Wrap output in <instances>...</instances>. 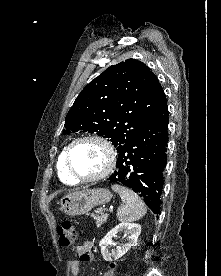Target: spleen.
Segmentation results:
<instances>
[{"label": "spleen", "instance_id": "1", "mask_svg": "<svg viewBox=\"0 0 221 276\" xmlns=\"http://www.w3.org/2000/svg\"><path fill=\"white\" fill-rule=\"evenodd\" d=\"M112 189L120 195L124 203L117 210V218L119 221H136L146 214L145 204L136 193L120 185H112Z\"/></svg>", "mask_w": 221, "mask_h": 276}]
</instances>
